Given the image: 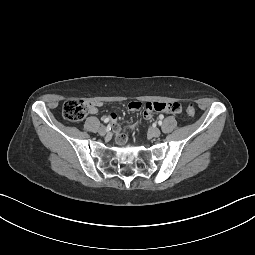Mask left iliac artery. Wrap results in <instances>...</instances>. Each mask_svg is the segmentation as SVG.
<instances>
[{
    "label": "left iliac artery",
    "mask_w": 255,
    "mask_h": 255,
    "mask_svg": "<svg viewBox=\"0 0 255 255\" xmlns=\"http://www.w3.org/2000/svg\"><path fill=\"white\" fill-rule=\"evenodd\" d=\"M159 125H162V122H161V121H159Z\"/></svg>",
    "instance_id": "left-iliac-artery-1"
}]
</instances>
